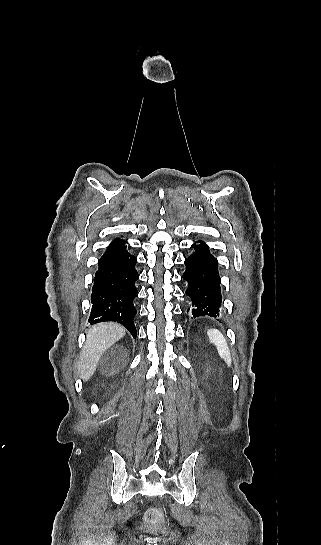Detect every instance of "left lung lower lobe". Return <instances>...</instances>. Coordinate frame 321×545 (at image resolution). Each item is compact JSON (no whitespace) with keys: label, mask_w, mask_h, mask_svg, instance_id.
I'll list each match as a JSON object with an SVG mask.
<instances>
[{"label":"left lung lower lobe","mask_w":321,"mask_h":545,"mask_svg":"<svg viewBox=\"0 0 321 545\" xmlns=\"http://www.w3.org/2000/svg\"><path fill=\"white\" fill-rule=\"evenodd\" d=\"M194 243L191 248L195 249L185 259L186 271L183 279L188 282L186 295L192 303L187 312L197 316H219L222 296L220 293V277L217 270V259L209 253V247L203 241Z\"/></svg>","instance_id":"left-lung-lower-lobe-1"}]
</instances>
